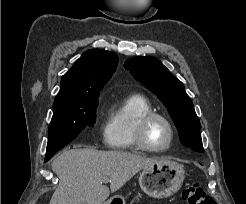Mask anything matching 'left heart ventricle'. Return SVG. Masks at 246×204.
<instances>
[{
  "instance_id": "b2bd125f",
  "label": "left heart ventricle",
  "mask_w": 246,
  "mask_h": 204,
  "mask_svg": "<svg viewBox=\"0 0 246 204\" xmlns=\"http://www.w3.org/2000/svg\"><path fill=\"white\" fill-rule=\"evenodd\" d=\"M170 139V131L167 125L155 119L151 122L147 130V141L152 147L162 148L167 145Z\"/></svg>"
}]
</instances>
